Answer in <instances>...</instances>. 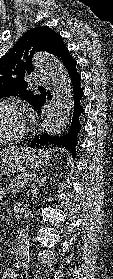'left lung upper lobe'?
<instances>
[{
    "mask_svg": "<svg viewBox=\"0 0 113 279\" xmlns=\"http://www.w3.org/2000/svg\"><path fill=\"white\" fill-rule=\"evenodd\" d=\"M46 51L62 59L68 51L61 35L48 27H35L26 32L15 46L0 58V98L19 95L33 107L44 96L27 90L25 76L30 74L35 52Z\"/></svg>",
    "mask_w": 113,
    "mask_h": 279,
    "instance_id": "left-lung-upper-lobe-1",
    "label": "left lung upper lobe"
}]
</instances>
